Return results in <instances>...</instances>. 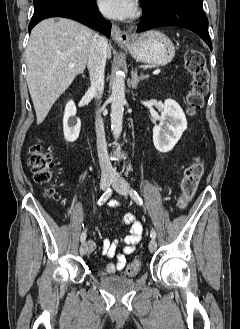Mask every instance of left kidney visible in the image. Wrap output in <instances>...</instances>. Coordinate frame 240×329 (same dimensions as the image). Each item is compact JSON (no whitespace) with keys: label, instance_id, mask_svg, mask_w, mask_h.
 <instances>
[{"label":"left kidney","instance_id":"left-kidney-1","mask_svg":"<svg viewBox=\"0 0 240 329\" xmlns=\"http://www.w3.org/2000/svg\"><path fill=\"white\" fill-rule=\"evenodd\" d=\"M186 129V116L179 104L172 99L165 100L160 123L153 128L155 148L161 153L171 151Z\"/></svg>","mask_w":240,"mask_h":329}]
</instances>
